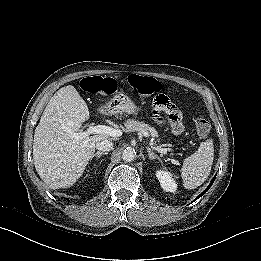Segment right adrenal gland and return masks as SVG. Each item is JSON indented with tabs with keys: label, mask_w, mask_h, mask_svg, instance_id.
<instances>
[{
	"label": "right adrenal gland",
	"mask_w": 261,
	"mask_h": 261,
	"mask_svg": "<svg viewBox=\"0 0 261 261\" xmlns=\"http://www.w3.org/2000/svg\"><path fill=\"white\" fill-rule=\"evenodd\" d=\"M104 154H107V153H104V152H102V151H98V152H96L94 155H93V157H96V159H99L102 155H104Z\"/></svg>",
	"instance_id": "2a0ac1e0"
}]
</instances>
